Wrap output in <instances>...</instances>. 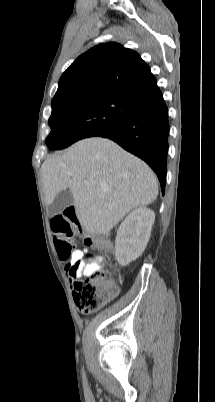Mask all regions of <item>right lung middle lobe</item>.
Here are the masks:
<instances>
[{
    "label": "right lung middle lobe",
    "instance_id": "dd1d6c3e",
    "mask_svg": "<svg viewBox=\"0 0 215 402\" xmlns=\"http://www.w3.org/2000/svg\"><path fill=\"white\" fill-rule=\"evenodd\" d=\"M137 103L124 97L96 93L52 100L51 132L46 138L50 150L100 135L125 120Z\"/></svg>",
    "mask_w": 215,
    "mask_h": 402
}]
</instances>
